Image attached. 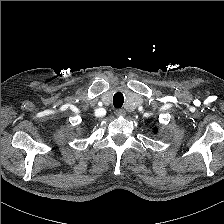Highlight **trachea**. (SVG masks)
Wrapping results in <instances>:
<instances>
[{
  "instance_id": "trachea-1",
  "label": "trachea",
  "mask_w": 224,
  "mask_h": 224,
  "mask_svg": "<svg viewBox=\"0 0 224 224\" xmlns=\"http://www.w3.org/2000/svg\"><path fill=\"white\" fill-rule=\"evenodd\" d=\"M124 103V96L122 93L117 92L113 97V105L115 108H121Z\"/></svg>"
}]
</instances>
